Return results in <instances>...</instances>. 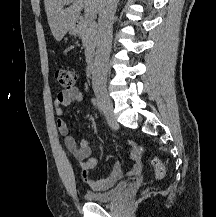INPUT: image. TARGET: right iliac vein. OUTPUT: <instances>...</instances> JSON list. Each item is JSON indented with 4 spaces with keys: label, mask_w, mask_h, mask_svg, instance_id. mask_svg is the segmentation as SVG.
Masks as SVG:
<instances>
[{
    "label": "right iliac vein",
    "mask_w": 216,
    "mask_h": 217,
    "mask_svg": "<svg viewBox=\"0 0 216 217\" xmlns=\"http://www.w3.org/2000/svg\"><path fill=\"white\" fill-rule=\"evenodd\" d=\"M95 95L99 100L101 107L110 123L114 128H117L118 124L113 115V104L107 94L106 89L98 87L94 89Z\"/></svg>",
    "instance_id": "1"
}]
</instances>
